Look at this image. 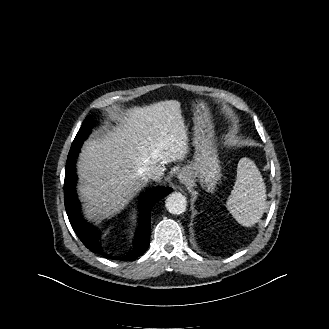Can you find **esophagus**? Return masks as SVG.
I'll use <instances>...</instances> for the list:
<instances>
[{
    "instance_id": "34e87169",
    "label": "esophagus",
    "mask_w": 329,
    "mask_h": 329,
    "mask_svg": "<svg viewBox=\"0 0 329 329\" xmlns=\"http://www.w3.org/2000/svg\"><path fill=\"white\" fill-rule=\"evenodd\" d=\"M179 180L181 183L186 184L187 182V177L184 174H179Z\"/></svg>"
}]
</instances>
